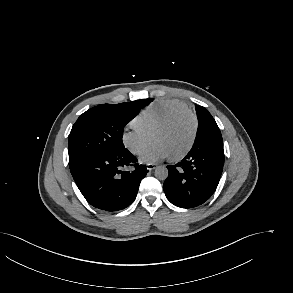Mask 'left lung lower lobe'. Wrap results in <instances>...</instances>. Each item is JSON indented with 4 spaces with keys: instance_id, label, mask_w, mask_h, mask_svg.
Instances as JSON below:
<instances>
[{
    "instance_id": "0a47b994",
    "label": "left lung lower lobe",
    "mask_w": 293,
    "mask_h": 293,
    "mask_svg": "<svg viewBox=\"0 0 293 293\" xmlns=\"http://www.w3.org/2000/svg\"><path fill=\"white\" fill-rule=\"evenodd\" d=\"M223 165V142H195L181 162L167 166L169 175L163 186L167 199L181 208L203 204L216 190Z\"/></svg>"
}]
</instances>
